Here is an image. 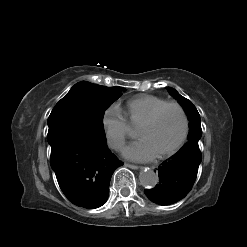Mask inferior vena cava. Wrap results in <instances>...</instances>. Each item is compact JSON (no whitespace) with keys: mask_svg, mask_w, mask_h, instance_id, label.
I'll use <instances>...</instances> for the list:
<instances>
[{"mask_svg":"<svg viewBox=\"0 0 247 247\" xmlns=\"http://www.w3.org/2000/svg\"><path fill=\"white\" fill-rule=\"evenodd\" d=\"M112 146H113V147H117V148H119V147H121V146H122V144H121V143H113V144H112Z\"/></svg>","mask_w":247,"mask_h":247,"instance_id":"1","label":"inferior vena cava"}]
</instances>
